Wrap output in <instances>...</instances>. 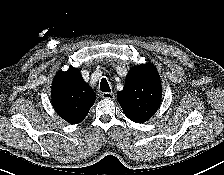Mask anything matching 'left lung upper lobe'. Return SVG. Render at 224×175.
Returning a JSON list of instances; mask_svg holds the SVG:
<instances>
[{"label":"left lung upper lobe","instance_id":"obj_1","mask_svg":"<svg viewBox=\"0 0 224 175\" xmlns=\"http://www.w3.org/2000/svg\"><path fill=\"white\" fill-rule=\"evenodd\" d=\"M124 114L136 123L149 120L160 106L162 88L159 74L151 63L129 71L124 90L117 94Z\"/></svg>","mask_w":224,"mask_h":175}]
</instances>
